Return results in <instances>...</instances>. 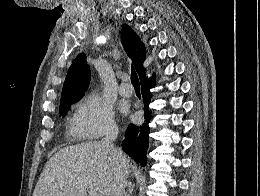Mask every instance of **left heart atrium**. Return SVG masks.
I'll list each match as a JSON object with an SVG mask.
<instances>
[{
	"label": "left heart atrium",
	"instance_id": "obj_1",
	"mask_svg": "<svg viewBox=\"0 0 260 196\" xmlns=\"http://www.w3.org/2000/svg\"><path fill=\"white\" fill-rule=\"evenodd\" d=\"M123 190H106V192H122Z\"/></svg>",
	"mask_w": 260,
	"mask_h": 196
}]
</instances>
